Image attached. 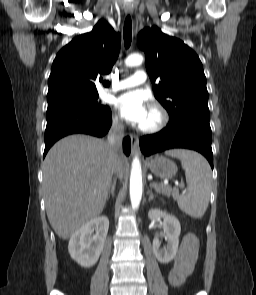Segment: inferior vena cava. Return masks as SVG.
Wrapping results in <instances>:
<instances>
[{"mask_svg": "<svg viewBox=\"0 0 256 295\" xmlns=\"http://www.w3.org/2000/svg\"><path fill=\"white\" fill-rule=\"evenodd\" d=\"M124 136V126L117 119L113 121L108 135V146L110 154L113 158L111 164V174L113 177H120V167H122V159H120V149L122 147V139Z\"/></svg>", "mask_w": 256, "mask_h": 295, "instance_id": "obj_1", "label": "inferior vena cava"}]
</instances>
